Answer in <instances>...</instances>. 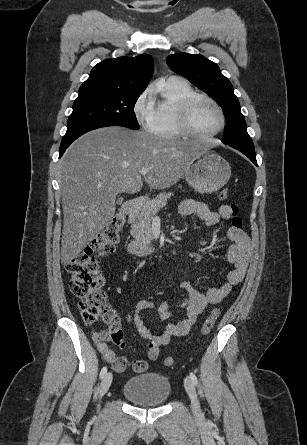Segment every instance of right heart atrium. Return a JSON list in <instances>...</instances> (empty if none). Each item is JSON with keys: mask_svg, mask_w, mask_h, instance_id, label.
Returning a JSON list of instances; mask_svg holds the SVG:
<instances>
[{"mask_svg": "<svg viewBox=\"0 0 307 445\" xmlns=\"http://www.w3.org/2000/svg\"><path fill=\"white\" fill-rule=\"evenodd\" d=\"M154 97V91L151 88H147L137 99L133 113L137 123L142 128H152L155 121V114L151 108V103Z\"/></svg>", "mask_w": 307, "mask_h": 445, "instance_id": "d8ad5b80", "label": "right heart atrium"}]
</instances>
